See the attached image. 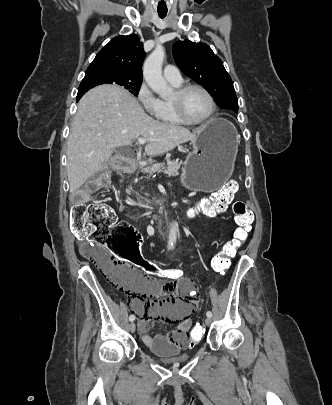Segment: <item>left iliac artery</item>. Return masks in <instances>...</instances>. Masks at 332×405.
<instances>
[{
	"mask_svg": "<svg viewBox=\"0 0 332 405\" xmlns=\"http://www.w3.org/2000/svg\"><path fill=\"white\" fill-rule=\"evenodd\" d=\"M206 316H207V317H212V312H211V311H207Z\"/></svg>",
	"mask_w": 332,
	"mask_h": 405,
	"instance_id": "1",
	"label": "left iliac artery"
}]
</instances>
